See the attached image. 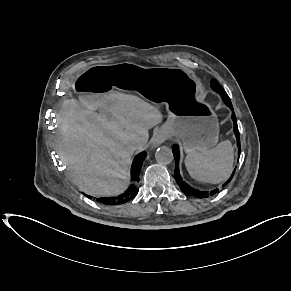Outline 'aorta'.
<instances>
[{
  "label": "aorta",
  "instance_id": "aorta-1",
  "mask_svg": "<svg viewBox=\"0 0 291 291\" xmlns=\"http://www.w3.org/2000/svg\"><path fill=\"white\" fill-rule=\"evenodd\" d=\"M155 158L160 164H169L173 160V152L169 147L162 146L157 149Z\"/></svg>",
  "mask_w": 291,
  "mask_h": 291
}]
</instances>
